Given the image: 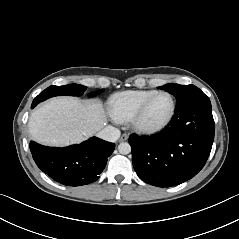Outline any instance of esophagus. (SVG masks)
Returning <instances> with one entry per match:
<instances>
[{"instance_id": "esophagus-1", "label": "esophagus", "mask_w": 239, "mask_h": 239, "mask_svg": "<svg viewBox=\"0 0 239 239\" xmlns=\"http://www.w3.org/2000/svg\"><path fill=\"white\" fill-rule=\"evenodd\" d=\"M127 139H128V134H126V133H123L120 137L121 142L126 141Z\"/></svg>"}]
</instances>
